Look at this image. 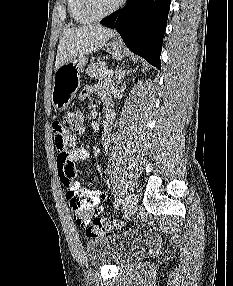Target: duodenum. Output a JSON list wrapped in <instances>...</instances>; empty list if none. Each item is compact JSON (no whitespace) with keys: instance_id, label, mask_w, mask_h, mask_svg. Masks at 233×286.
Instances as JSON below:
<instances>
[{"instance_id":"1","label":"duodenum","mask_w":233,"mask_h":286,"mask_svg":"<svg viewBox=\"0 0 233 286\" xmlns=\"http://www.w3.org/2000/svg\"><path fill=\"white\" fill-rule=\"evenodd\" d=\"M113 118H114V113L112 111H108V113L106 114V121H108V123H111Z\"/></svg>"}]
</instances>
